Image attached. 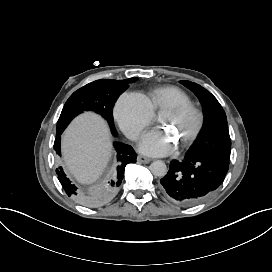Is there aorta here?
Returning <instances> with one entry per match:
<instances>
[{"instance_id":"obj_1","label":"aorta","mask_w":272,"mask_h":272,"mask_svg":"<svg viewBox=\"0 0 272 272\" xmlns=\"http://www.w3.org/2000/svg\"><path fill=\"white\" fill-rule=\"evenodd\" d=\"M150 171L154 176L163 177L167 174V166L163 161H154L150 165Z\"/></svg>"}]
</instances>
